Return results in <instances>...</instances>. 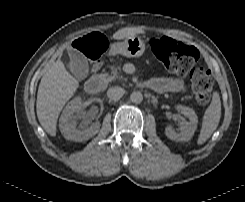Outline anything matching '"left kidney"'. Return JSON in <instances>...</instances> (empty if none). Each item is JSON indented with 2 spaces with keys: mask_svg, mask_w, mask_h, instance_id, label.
Returning <instances> with one entry per match:
<instances>
[{
  "mask_svg": "<svg viewBox=\"0 0 245 202\" xmlns=\"http://www.w3.org/2000/svg\"><path fill=\"white\" fill-rule=\"evenodd\" d=\"M177 107L183 115L188 117L189 120L185 123H181L180 133H176L171 126H167L165 128V134L170 140L177 142H187L192 138L197 128L198 117L192 108L181 105Z\"/></svg>",
  "mask_w": 245,
  "mask_h": 202,
  "instance_id": "left-kidney-1",
  "label": "left kidney"
}]
</instances>
